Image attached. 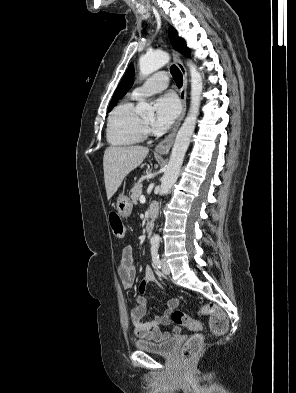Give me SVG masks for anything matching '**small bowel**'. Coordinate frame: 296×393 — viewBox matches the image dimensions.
<instances>
[{"label": "small bowel", "mask_w": 296, "mask_h": 393, "mask_svg": "<svg viewBox=\"0 0 296 393\" xmlns=\"http://www.w3.org/2000/svg\"><path fill=\"white\" fill-rule=\"evenodd\" d=\"M117 272L123 287L125 289H131L135 279V266L133 250L130 245L125 246L122 250V258L117 266ZM148 284H154L164 289L151 267H146L145 269L144 276L139 284V292L134 295L135 303L130 308L129 315L133 325L134 335L137 338L160 341L171 335L169 332H163L161 328L171 325L170 315L178 307L179 300L177 298L169 299L162 315L155 313L151 320L143 322V317L148 310V301L145 297V291ZM172 329L173 334H178L180 332L178 326H173Z\"/></svg>", "instance_id": "obj_1"}]
</instances>
